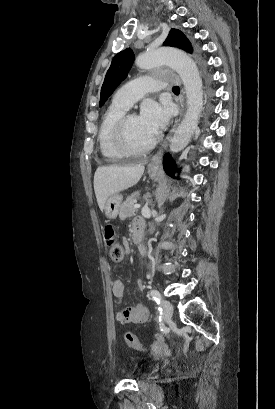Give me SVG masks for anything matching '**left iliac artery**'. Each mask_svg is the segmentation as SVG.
Wrapping results in <instances>:
<instances>
[{"mask_svg": "<svg viewBox=\"0 0 275 409\" xmlns=\"http://www.w3.org/2000/svg\"><path fill=\"white\" fill-rule=\"evenodd\" d=\"M150 295L152 296V298L156 301V303H157L158 305L161 304V295H160V292H159L158 290L152 289V290L150 291ZM161 309H162V308L159 307V310H161Z\"/></svg>", "mask_w": 275, "mask_h": 409, "instance_id": "obj_1", "label": "left iliac artery"}]
</instances>
